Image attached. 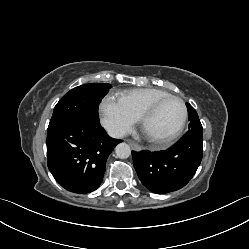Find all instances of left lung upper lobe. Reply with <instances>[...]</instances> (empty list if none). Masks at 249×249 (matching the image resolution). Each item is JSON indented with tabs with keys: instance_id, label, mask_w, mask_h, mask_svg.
Listing matches in <instances>:
<instances>
[{
	"instance_id": "5c2ea615",
	"label": "left lung upper lobe",
	"mask_w": 249,
	"mask_h": 249,
	"mask_svg": "<svg viewBox=\"0 0 249 249\" xmlns=\"http://www.w3.org/2000/svg\"><path fill=\"white\" fill-rule=\"evenodd\" d=\"M186 106L188 109V115L190 120L188 132H203V128L200 123L197 112L189 103H186Z\"/></svg>"
}]
</instances>
